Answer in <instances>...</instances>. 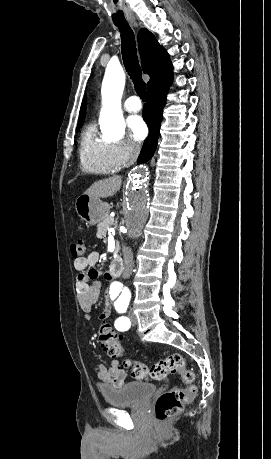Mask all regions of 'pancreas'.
<instances>
[{
    "mask_svg": "<svg viewBox=\"0 0 271 459\" xmlns=\"http://www.w3.org/2000/svg\"><path fill=\"white\" fill-rule=\"evenodd\" d=\"M114 222H116V220H113V218H109V220H107V222H102V224H99V228L98 229H101V230H99L96 233V236L99 239H102L106 235V229L107 228H111V226H113ZM115 228H117V226H115Z\"/></svg>",
    "mask_w": 271,
    "mask_h": 459,
    "instance_id": "1",
    "label": "pancreas"
}]
</instances>
